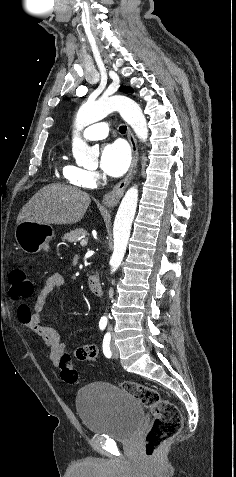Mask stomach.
<instances>
[{
	"mask_svg": "<svg viewBox=\"0 0 236 477\" xmlns=\"http://www.w3.org/2000/svg\"><path fill=\"white\" fill-rule=\"evenodd\" d=\"M54 237V229L49 224L23 221L17 224L15 239L26 253L34 254L49 250V242Z\"/></svg>",
	"mask_w": 236,
	"mask_h": 477,
	"instance_id": "stomach-1",
	"label": "stomach"
}]
</instances>
